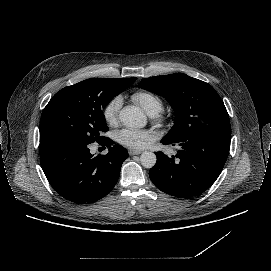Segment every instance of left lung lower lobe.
Instances as JSON below:
<instances>
[{"instance_id":"left-lung-lower-lobe-1","label":"left lung lower lobe","mask_w":271,"mask_h":271,"mask_svg":"<svg viewBox=\"0 0 271 271\" xmlns=\"http://www.w3.org/2000/svg\"><path fill=\"white\" fill-rule=\"evenodd\" d=\"M231 134L206 131L183 141L163 144L179 145L176 156L157 152V162L149 171L154 185L161 191L179 198L200 195L220 175L227 160Z\"/></svg>"}]
</instances>
